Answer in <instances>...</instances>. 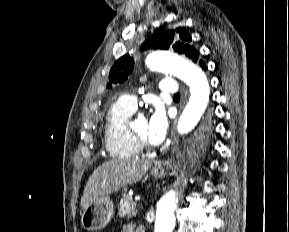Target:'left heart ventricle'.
<instances>
[{"label":"left heart ventricle","instance_id":"left-heart-ventricle-1","mask_svg":"<svg viewBox=\"0 0 289 232\" xmlns=\"http://www.w3.org/2000/svg\"><path fill=\"white\" fill-rule=\"evenodd\" d=\"M132 132L135 133L139 138L148 141L147 138V121L145 118H137L134 123L133 126L131 128Z\"/></svg>","mask_w":289,"mask_h":232}]
</instances>
